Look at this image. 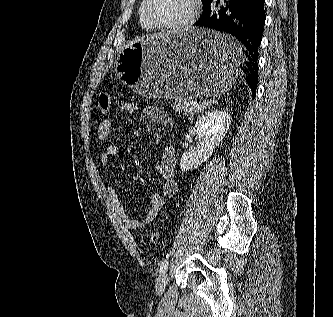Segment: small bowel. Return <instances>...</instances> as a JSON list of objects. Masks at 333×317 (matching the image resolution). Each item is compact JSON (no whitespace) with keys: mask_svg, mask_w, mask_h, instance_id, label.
<instances>
[{"mask_svg":"<svg viewBox=\"0 0 333 317\" xmlns=\"http://www.w3.org/2000/svg\"><path fill=\"white\" fill-rule=\"evenodd\" d=\"M120 109L124 112H134L138 110V105L132 101H124L120 104ZM144 113L154 122L170 126L172 120L163 110L148 106L144 108ZM112 120L106 118L102 120L97 128V138L101 142L108 140L112 130ZM119 154V147L116 144H109L100 156L103 166H108L111 159ZM176 158L172 146L167 147L156 164V171L161 177L163 184L161 192H154L149 197V208L145 216L140 219L131 218L121 204L118 193L112 185L107 186V193L112 205L125 228L130 230H141L147 228L156 218L159 211L164 207L168 198L174 197L178 193V185L175 179Z\"/></svg>","mask_w":333,"mask_h":317,"instance_id":"c3829d8e","label":"small bowel"}]
</instances>
